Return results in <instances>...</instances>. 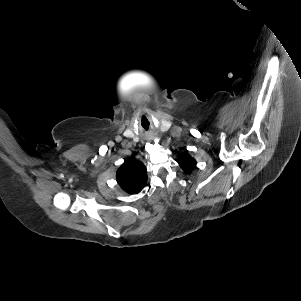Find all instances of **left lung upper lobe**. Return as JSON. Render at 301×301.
<instances>
[{"label":"left lung upper lobe","instance_id":"left-lung-upper-lobe-1","mask_svg":"<svg viewBox=\"0 0 301 301\" xmlns=\"http://www.w3.org/2000/svg\"><path fill=\"white\" fill-rule=\"evenodd\" d=\"M179 165L185 172H190L196 166V161L187 153H183L178 160Z\"/></svg>","mask_w":301,"mask_h":301}]
</instances>
